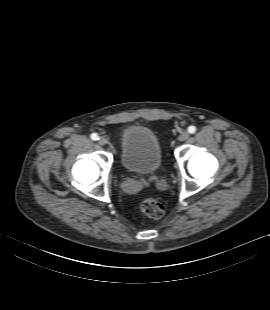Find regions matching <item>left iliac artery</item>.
<instances>
[{"mask_svg": "<svg viewBox=\"0 0 270 310\" xmlns=\"http://www.w3.org/2000/svg\"><path fill=\"white\" fill-rule=\"evenodd\" d=\"M188 132L191 133V134L195 133L196 132V127L195 126H189L188 127Z\"/></svg>", "mask_w": 270, "mask_h": 310, "instance_id": "left-iliac-artery-1", "label": "left iliac artery"}]
</instances>
